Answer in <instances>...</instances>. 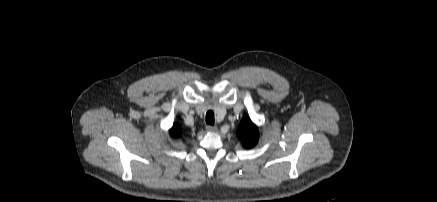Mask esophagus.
<instances>
[{"mask_svg": "<svg viewBox=\"0 0 437 202\" xmlns=\"http://www.w3.org/2000/svg\"><path fill=\"white\" fill-rule=\"evenodd\" d=\"M206 130L209 132H215L217 131V126L207 125Z\"/></svg>", "mask_w": 437, "mask_h": 202, "instance_id": "esophagus-1", "label": "esophagus"}]
</instances>
